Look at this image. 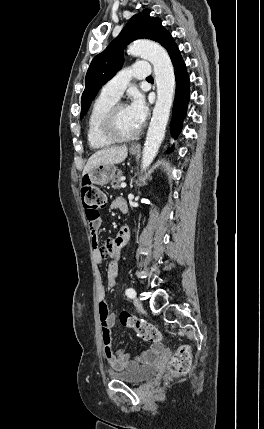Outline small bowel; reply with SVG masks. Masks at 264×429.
<instances>
[{
    "instance_id": "1",
    "label": "small bowel",
    "mask_w": 264,
    "mask_h": 429,
    "mask_svg": "<svg viewBox=\"0 0 264 429\" xmlns=\"http://www.w3.org/2000/svg\"><path fill=\"white\" fill-rule=\"evenodd\" d=\"M123 202H125L124 199L116 198L112 201L111 207L113 209H119ZM100 225L101 219H98L95 222H89L93 258L97 264H100L105 257L111 258L106 273V286L111 289L115 286L118 277L120 249L129 242L131 231L128 227H123L118 231L114 238L106 239L103 246H100ZM97 292L104 353L112 368L116 371H124L137 368L140 364H150L155 362L163 351V346L160 343L151 344L148 349L144 350L139 356L134 358L123 350L117 349L113 346L111 330L116 324V317L112 312H110L107 306L105 299V284L100 269L97 270Z\"/></svg>"
}]
</instances>
